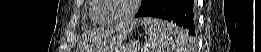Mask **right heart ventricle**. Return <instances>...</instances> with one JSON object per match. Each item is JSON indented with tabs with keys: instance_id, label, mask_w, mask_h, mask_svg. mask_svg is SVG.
I'll use <instances>...</instances> for the list:
<instances>
[{
	"instance_id": "obj_1",
	"label": "right heart ventricle",
	"mask_w": 261,
	"mask_h": 52,
	"mask_svg": "<svg viewBox=\"0 0 261 52\" xmlns=\"http://www.w3.org/2000/svg\"><path fill=\"white\" fill-rule=\"evenodd\" d=\"M96 5H97V3L95 1H92V5L89 9V18L92 21V23H94V24H97V21L94 18V10H95Z\"/></svg>"
}]
</instances>
